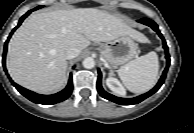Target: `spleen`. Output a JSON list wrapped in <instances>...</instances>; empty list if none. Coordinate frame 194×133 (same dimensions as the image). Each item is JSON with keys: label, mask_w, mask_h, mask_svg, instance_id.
<instances>
[{"label": "spleen", "mask_w": 194, "mask_h": 133, "mask_svg": "<svg viewBox=\"0 0 194 133\" xmlns=\"http://www.w3.org/2000/svg\"><path fill=\"white\" fill-rule=\"evenodd\" d=\"M158 71V56L152 51L120 67L118 75L129 91L144 93L156 84Z\"/></svg>", "instance_id": "spleen-1"}]
</instances>
